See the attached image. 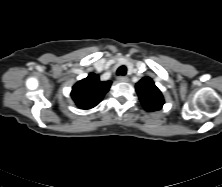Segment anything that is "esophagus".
Here are the masks:
<instances>
[{"label": "esophagus", "mask_w": 222, "mask_h": 187, "mask_svg": "<svg viewBox=\"0 0 222 187\" xmlns=\"http://www.w3.org/2000/svg\"><path fill=\"white\" fill-rule=\"evenodd\" d=\"M117 80H118L119 82H126V81H128V78H127L126 76H119V77L117 78Z\"/></svg>", "instance_id": "obj_1"}]
</instances>
